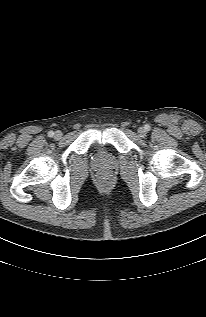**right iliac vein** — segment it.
I'll list each match as a JSON object with an SVG mask.
<instances>
[{"label":"right iliac vein","instance_id":"63e3f726","mask_svg":"<svg viewBox=\"0 0 206 317\" xmlns=\"http://www.w3.org/2000/svg\"><path fill=\"white\" fill-rule=\"evenodd\" d=\"M54 137L57 140L61 139L62 138V132L61 131H56Z\"/></svg>","mask_w":206,"mask_h":317}]
</instances>
